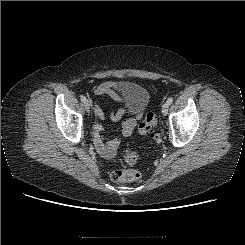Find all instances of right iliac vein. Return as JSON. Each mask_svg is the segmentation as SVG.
I'll use <instances>...</instances> for the list:
<instances>
[{
    "instance_id": "right-iliac-vein-1",
    "label": "right iliac vein",
    "mask_w": 245,
    "mask_h": 245,
    "mask_svg": "<svg viewBox=\"0 0 245 245\" xmlns=\"http://www.w3.org/2000/svg\"><path fill=\"white\" fill-rule=\"evenodd\" d=\"M90 107H91L90 103L88 101H86L85 102V109H86V111H90Z\"/></svg>"
}]
</instances>
